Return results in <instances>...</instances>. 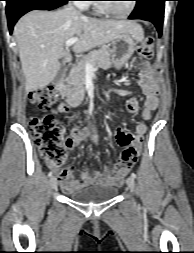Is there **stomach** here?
<instances>
[{"mask_svg": "<svg viewBox=\"0 0 194 253\" xmlns=\"http://www.w3.org/2000/svg\"><path fill=\"white\" fill-rule=\"evenodd\" d=\"M136 49V37L131 33H121L112 41L111 64L120 68L133 55Z\"/></svg>", "mask_w": 194, "mask_h": 253, "instance_id": "obj_1", "label": "stomach"}]
</instances>
